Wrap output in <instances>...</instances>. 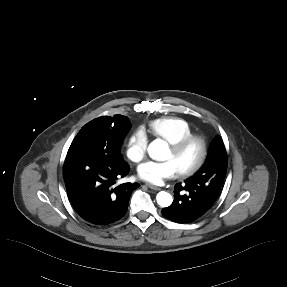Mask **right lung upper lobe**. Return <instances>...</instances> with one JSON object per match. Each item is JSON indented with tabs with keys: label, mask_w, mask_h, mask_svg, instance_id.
Wrapping results in <instances>:
<instances>
[{
	"label": "right lung upper lobe",
	"mask_w": 287,
	"mask_h": 287,
	"mask_svg": "<svg viewBox=\"0 0 287 287\" xmlns=\"http://www.w3.org/2000/svg\"><path fill=\"white\" fill-rule=\"evenodd\" d=\"M127 117L123 116V115H116L114 117H110V116H103V117H99L94 119L95 122H97L100 127H99V131L100 133L107 137L110 138L112 137L117 128L119 127V125L126 119Z\"/></svg>",
	"instance_id": "obj_1"
}]
</instances>
